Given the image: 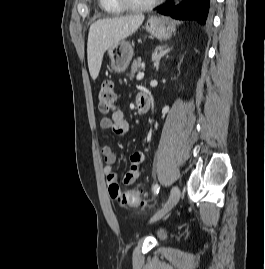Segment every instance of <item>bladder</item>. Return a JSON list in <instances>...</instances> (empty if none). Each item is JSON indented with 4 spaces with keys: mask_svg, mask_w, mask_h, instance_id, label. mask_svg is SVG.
Instances as JSON below:
<instances>
[{
    "mask_svg": "<svg viewBox=\"0 0 265 269\" xmlns=\"http://www.w3.org/2000/svg\"><path fill=\"white\" fill-rule=\"evenodd\" d=\"M154 237L157 242H163L167 238V232L164 229H158L155 231Z\"/></svg>",
    "mask_w": 265,
    "mask_h": 269,
    "instance_id": "1",
    "label": "bladder"
}]
</instances>
